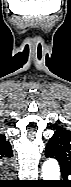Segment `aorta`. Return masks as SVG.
I'll return each mask as SVG.
<instances>
[{
    "label": "aorta",
    "instance_id": "obj_1",
    "mask_svg": "<svg viewBox=\"0 0 71 187\" xmlns=\"http://www.w3.org/2000/svg\"><path fill=\"white\" fill-rule=\"evenodd\" d=\"M42 178L43 180H59L60 167L57 160L50 158L47 159L42 165Z\"/></svg>",
    "mask_w": 71,
    "mask_h": 187
}]
</instances>
